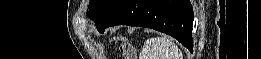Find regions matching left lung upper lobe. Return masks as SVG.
<instances>
[{
	"mask_svg": "<svg viewBox=\"0 0 261 59\" xmlns=\"http://www.w3.org/2000/svg\"><path fill=\"white\" fill-rule=\"evenodd\" d=\"M119 0H91L89 3V12L87 13L95 24L98 23Z\"/></svg>",
	"mask_w": 261,
	"mask_h": 59,
	"instance_id": "left-lung-upper-lobe-1",
	"label": "left lung upper lobe"
}]
</instances>
